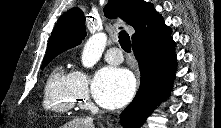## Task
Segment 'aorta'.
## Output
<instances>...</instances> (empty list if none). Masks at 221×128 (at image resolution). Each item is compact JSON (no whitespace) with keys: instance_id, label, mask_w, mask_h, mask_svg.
I'll list each match as a JSON object with an SVG mask.
<instances>
[{"instance_id":"aorta-1","label":"aorta","mask_w":221,"mask_h":128,"mask_svg":"<svg viewBox=\"0 0 221 128\" xmlns=\"http://www.w3.org/2000/svg\"><path fill=\"white\" fill-rule=\"evenodd\" d=\"M107 35L97 33L91 36L86 42L82 52V64L86 68L93 67L100 59L106 47Z\"/></svg>"}]
</instances>
